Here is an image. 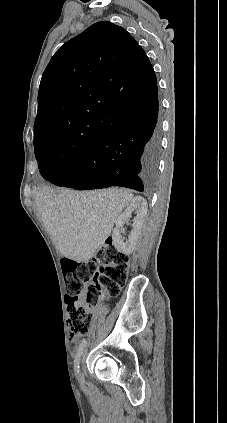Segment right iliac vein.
I'll use <instances>...</instances> for the list:
<instances>
[{
    "label": "right iliac vein",
    "mask_w": 227,
    "mask_h": 423,
    "mask_svg": "<svg viewBox=\"0 0 227 423\" xmlns=\"http://www.w3.org/2000/svg\"><path fill=\"white\" fill-rule=\"evenodd\" d=\"M79 378H82V375H81V373H79Z\"/></svg>",
    "instance_id": "1"
}]
</instances>
